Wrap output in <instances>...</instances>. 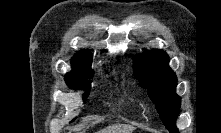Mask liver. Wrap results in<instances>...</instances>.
I'll return each mask as SVG.
<instances>
[{
    "label": "liver",
    "instance_id": "1",
    "mask_svg": "<svg viewBox=\"0 0 221 133\" xmlns=\"http://www.w3.org/2000/svg\"><path fill=\"white\" fill-rule=\"evenodd\" d=\"M134 127L129 125H112L102 129L99 133H132Z\"/></svg>",
    "mask_w": 221,
    "mask_h": 133
}]
</instances>
